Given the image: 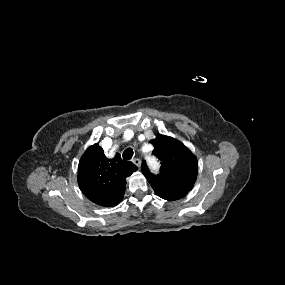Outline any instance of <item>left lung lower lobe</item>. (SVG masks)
Here are the masks:
<instances>
[{"label": "left lung lower lobe", "mask_w": 285, "mask_h": 285, "mask_svg": "<svg viewBox=\"0 0 285 285\" xmlns=\"http://www.w3.org/2000/svg\"><path fill=\"white\" fill-rule=\"evenodd\" d=\"M156 194L165 199V200H178L180 198H183L187 193L185 192H177V191H155Z\"/></svg>", "instance_id": "1"}]
</instances>
